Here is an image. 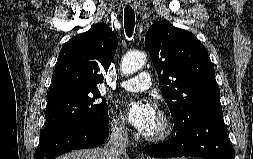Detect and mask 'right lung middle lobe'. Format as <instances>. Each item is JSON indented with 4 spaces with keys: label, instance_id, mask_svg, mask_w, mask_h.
<instances>
[{
    "label": "right lung middle lobe",
    "instance_id": "dd1d6c3e",
    "mask_svg": "<svg viewBox=\"0 0 253 159\" xmlns=\"http://www.w3.org/2000/svg\"><path fill=\"white\" fill-rule=\"evenodd\" d=\"M99 90L65 94L48 98L46 124L41 140L74 124L91 122L105 124L109 121L106 100Z\"/></svg>",
    "mask_w": 253,
    "mask_h": 159
}]
</instances>
